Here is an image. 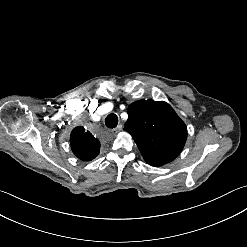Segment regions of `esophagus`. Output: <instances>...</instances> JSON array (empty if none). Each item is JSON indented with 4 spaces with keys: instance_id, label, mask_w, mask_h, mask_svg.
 I'll list each match as a JSON object with an SVG mask.
<instances>
[{
    "instance_id": "obj_1",
    "label": "esophagus",
    "mask_w": 247,
    "mask_h": 247,
    "mask_svg": "<svg viewBox=\"0 0 247 247\" xmlns=\"http://www.w3.org/2000/svg\"><path fill=\"white\" fill-rule=\"evenodd\" d=\"M121 129H122V125L119 124L116 128H113V129L111 130V132H112L113 134H117V133H119V132L121 131Z\"/></svg>"
}]
</instances>
